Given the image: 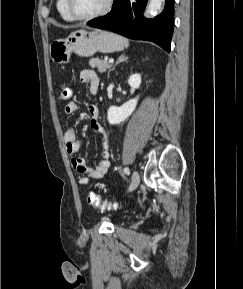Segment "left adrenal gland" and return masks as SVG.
I'll use <instances>...</instances> for the list:
<instances>
[{"instance_id": "a2214340", "label": "left adrenal gland", "mask_w": 243, "mask_h": 289, "mask_svg": "<svg viewBox=\"0 0 243 289\" xmlns=\"http://www.w3.org/2000/svg\"><path fill=\"white\" fill-rule=\"evenodd\" d=\"M127 59H128V57H127L125 54H121V55L118 57L115 65L113 66V68H112L110 71H113V70L115 69L116 65H118L119 63H121V62H123V61H126Z\"/></svg>"}]
</instances>
